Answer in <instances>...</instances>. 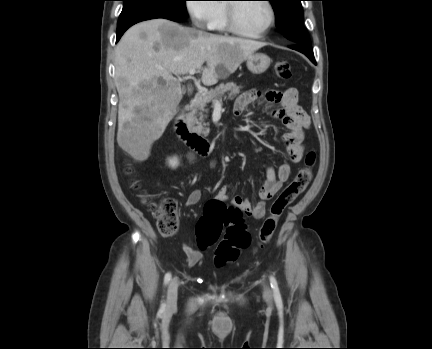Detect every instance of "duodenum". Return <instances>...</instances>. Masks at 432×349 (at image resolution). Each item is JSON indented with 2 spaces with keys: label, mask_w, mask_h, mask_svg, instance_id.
Here are the masks:
<instances>
[{
  "label": "duodenum",
  "mask_w": 432,
  "mask_h": 349,
  "mask_svg": "<svg viewBox=\"0 0 432 349\" xmlns=\"http://www.w3.org/2000/svg\"><path fill=\"white\" fill-rule=\"evenodd\" d=\"M191 116V105H188L181 110L175 122L176 135L192 152L200 156H208L210 153L209 143L202 135L193 129Z\"/></svg>",
  "instance_id": "410a0bca"
}]
</instances>
